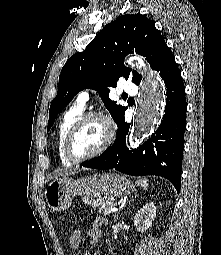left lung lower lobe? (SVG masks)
<instances>
[{
    "label": "left lung lower lobe",
    "instance_id": "left-lung-lower-lobe-1",
    "mask_svg": "<svg viewBox=\"0 0 221 255\" xmlns=\"http://www.w3.org/2000/svg\"><path fill=\"white\" fill-rule=\"evenodd\" d=\"M153 70L160 73L167 88L165 114L157 131L139 148L130 151L125 145L130 124L122 116L117 123L114 144L82 165L101 170L116 169L134 176H162L179 192L187 103L181 73L168 46L163 48Z\"/></svg>",
    "mask_w": 221,
    "mask_h": 255
}]
</instances>
